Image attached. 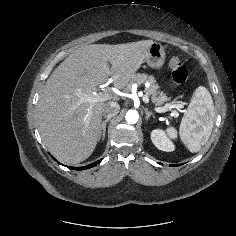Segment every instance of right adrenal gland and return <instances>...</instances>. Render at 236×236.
I'll use <instances>...</instances> for the list:
<instances>
[{"label": "right adrenal gland", "instance_id": "1", "mask_svg": "<svg viewBox=\"0 0 236 236\" xmlns=\"http://www.w3.org/2000/svg\"><path fill=\"white\" fill-rule=\"evenodd\" d=\"M110 119H106L102 122L101 127H100V134H99V139L102 141L105 139V133H106V123L109 122Z\"/></svg>", "mask_w": 236, "mask_h": 236}]
</instances>
